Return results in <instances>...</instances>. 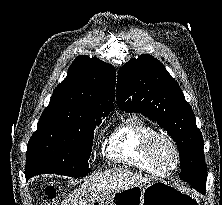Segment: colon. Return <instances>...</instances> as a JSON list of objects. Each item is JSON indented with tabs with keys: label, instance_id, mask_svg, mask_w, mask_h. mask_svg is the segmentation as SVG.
I'll return each instance as SVG.
<instances>
[{
	"label": "colon",
	"instance_id": "colon-1",
	"mask_svg": "<svg viewBox=\"0 0 222 205\" xmlns=\"http://www.w3.org/2000/svg\"><path fill=\"white\" fill-rule=\"evenodd\" d=\"M60 196V189L56 186H48L45 190L43 205H55L57 198Z\"/></svg>",
	"mask_w": 222,
	"mask_h": 205
}]
</instances>
